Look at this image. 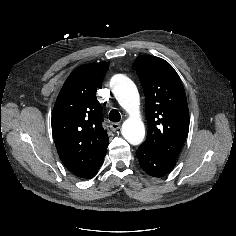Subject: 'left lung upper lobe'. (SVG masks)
<instances>
[{
    "instance_id": "1",
    "label": "left lung upper lobe",
    "mask_w": 236,
    "mask_h": 236,
    "mask_svg": "<svg viewBox=\"0 0 236 236\" xmlns=\"http://www.w3.org/2000/svg\"><path fill=\"white\" fill-rule=\"evenodd\" d=\"M135 68L146 104L148 133L141 145L176 162L189 131V110L182 82L165 60L141 55Z\"/></svg>"
}]
</instances>
